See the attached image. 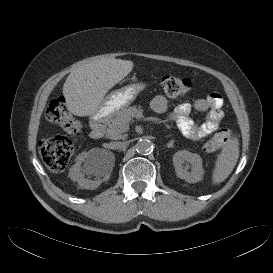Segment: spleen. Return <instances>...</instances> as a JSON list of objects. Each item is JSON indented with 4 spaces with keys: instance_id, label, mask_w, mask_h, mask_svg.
<instances>
[{
    "instance_id": "obj_1",
    "label": "spleen",
    "mask_w": 273,
    "mask_h": 273,
    "mask_svg": "<svg viewBox=\"0 0 273 273\" xmlns=\"http://www.w3.org/2000/svg\"><path fill=\"white\" fill-rule=\"evenodd\" d=\"M238 158L239 141L237 138H232L218 155L212 173V183L219 184L223 182L233 171Z\"/></svg>"
}]
</instances>
